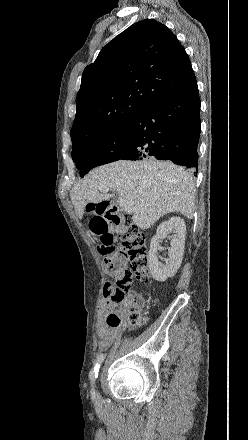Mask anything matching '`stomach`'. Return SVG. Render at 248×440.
<instances>
[{
	"mask_svg": "<svg viewBox=\"0 0 248 440\" xmlns=\"http://www.w3.org/2000/svg\"><path fill=\"white\" fill-rule=\"evenodd\" d=\"M86 211L90 216L94 213H102V204H87ZM88 232H93L94 237H99L100 241H115L116 234L111 225L110 218H87Z\"/></svg>",
	"mask_w": 248,
	"mask_h": 440,
	"instance_id": "stomach-1",
	"label": "stomach"
}]
</instances>
